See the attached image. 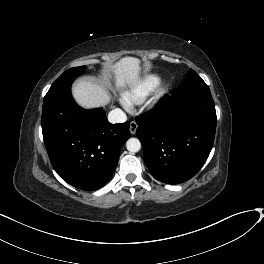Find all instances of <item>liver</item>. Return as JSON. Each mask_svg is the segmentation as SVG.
Returning <instances> with one entry per match:
<instances>
[{"instance_id": "6515ba94", "label": "liver", "mask_w": 264, "mask_h": 264, "mask_svg": "<svg viewBox=\"0 0 264 264\" xmlns=\"http://www.w3.org/2000/svg\"><path fill=\"white\" fill-rule=\"evenodd\" d=\"M115 87L123 90L126 86L135 85L140 78V60L124 57L112 66ZM75 101L86 109L104 107L111 100V94L104 84L94 79H80L72 86Z\"/></svg>"}]
</instances>
